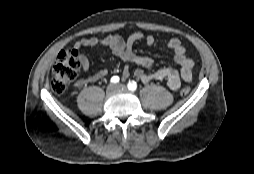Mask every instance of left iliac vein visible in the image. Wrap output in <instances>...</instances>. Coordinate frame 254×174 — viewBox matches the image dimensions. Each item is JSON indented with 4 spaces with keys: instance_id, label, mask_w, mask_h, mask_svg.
I'll return each mask as SVG.
<instances>
[{
    "instance_id": "1",
    "label": "left iliac vein",
    "mask_w": 254,
    "mask_h": 174,
    "mask_svg": "<svg viewBox=\"0 0 254 174\" xmlns=\"http://www.w3.org/2000/svg\"><path fill=\"white\" fill-rule=\"evenodd\" d=\"M116 89L125 90V89H126V86L123 85V84H117V85H116Z\"/></svg>"
}]
</instances>
